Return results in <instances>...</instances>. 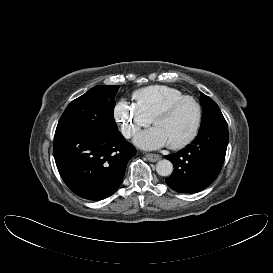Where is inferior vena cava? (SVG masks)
<instances>
[{
	"label": "inferior vena cava",
	"instance_id": "602c4592",
	"mask_svg": "<svg viewBox=\"0 0 273 273\" xmlns=\"http://www.w3.org/2000/svg\"><path fill=\"white\" fill-rule=\"evenodd\" d=\"M124 136H125L126 138H130V136H131V131L129 130V131L125 132V133H124Z\"/></svg>",
	"mask_w": 273,
	"mask_h": 273
}]
</instances>
